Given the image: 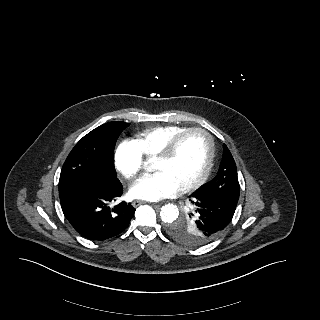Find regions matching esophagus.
I'll return each mask as SVG.
<instances>
[{"instance_id":"34e87169","label":"esophagus","mask_w":320,"mask_h":320,"mask_svg":"<svg viewBox=\"0 0 320 320\" xmlns=\"http://www.w3.org/2000/svg\"><path fill=\"white\" fill-rule=\"evenodd\" d=\"M144 203H146V202L142 201V200H135L132 202V205H133V207H137V206L142 205Z\"/></svg>"}]
</instances>
